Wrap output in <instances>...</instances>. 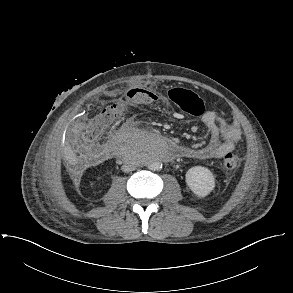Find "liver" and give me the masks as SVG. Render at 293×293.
Segmentation results:
<instances>
[{
  "label": "liver",
  "mask_w": 293,
  "mask_h": 293,
  "mask_svg": "<svg viewBox=\"0 0 293 293\" xmlns=\"http://www.w3.org/2000/svg\"><path fill=\"white\" fill-rule=\"evenodd\" d=\"M63 158L69 165H76L78 163V158L75 152L72 150L71 146L67 144L63 148Z\"/></svg>",
  "instance_id": "1"
}]
</instances>
